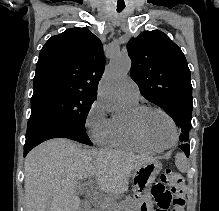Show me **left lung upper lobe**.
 <instances>
[{"instance_id":"1","label":"left lung upper lobe","mask_w":219,"mask_h":211,"mask_svg":"<svg viewBox=\"0 0 219 211\" xmlns=\"http://www.w3.org/2000/svg\"><path fill=\"white\" fill-rule=\"evenodd\" d=\"M132 60L131 77L141 94L168 113L187 142L191 128L192 85L181 49L159 30L144 31L127 44Z\"/></svg>"}]
</instances>
